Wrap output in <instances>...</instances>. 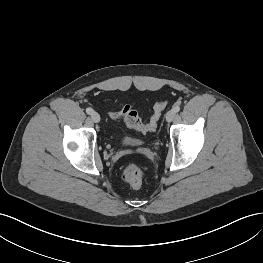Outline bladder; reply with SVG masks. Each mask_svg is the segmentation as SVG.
Returning a JSON list of instances; mask_svg holds the SVG:
<instances>
[{
  "mask_svg": "<svg viewBox=\"0 0 263 263\" xmlns=\"http://www.w3.org/2000/svg\"><path fill=\"white\" fill-rule=\"evenodd\" d=\"M137 143H138L137 140H132V139H126L123 141V144L127 146L135 145Z\"/></svg>",
  "mask_w": 263,
  "mask_h": 263,
  "instance_id": "bladder-1",
  "label": "bladder"
}]
</instances>
